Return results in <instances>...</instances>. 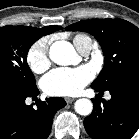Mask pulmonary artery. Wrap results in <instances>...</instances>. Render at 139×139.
<instances>
[{
    "label": "pulmonary artery",
    "instance_id": "pulmonary-artery-1",
    "mask_svg": "<svg viewBox=\"0 0 139 139\" xmlns=\"http://www.w3.org/2000/svg\"><path fill=\"white\" fill-rule=\"evenodd\" d=\"M74 45L76 46L78 51L85 56L88 55L93 48V42L88 36L74 41Z\"/></svg>",
    "mask_w": 139,
    "mask_h": 139
}]
</instances>
